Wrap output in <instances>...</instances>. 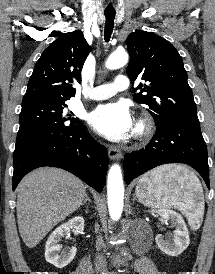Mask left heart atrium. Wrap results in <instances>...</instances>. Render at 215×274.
<instances>
[{
  "instance_id": "obj_1",
  "label": "left heart atrium",
  "mask_w": 215,
  "mask_h": 274,
  "mask_svg": "<svg viewBox=\"0 0 215 274\" xmlns=\"http://www.w3.org/2000/svg\"><path fill=\"white\" fill-rule=\"evenodd\" d=\"M89 124L112 141L128 138L134 130V121L124 103L99 105L89 115Z\"/></svg>"
}]
</instances>
